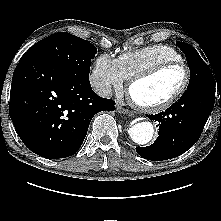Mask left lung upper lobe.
<instances>
[{"label":"left lung upper lobe","instance_id":"obj_1","mask_svg":"<svg viewBox=\"0 0 221 221\" xmlns=\"http://www.w3.org/2000/svg\"><path fill=\"white\" fill-rule=\"evenodd\" d=\"M176 44L185 53L190 67V81L187 89L198 86L204 82L214 80L209 67L190 44L180 41Z\"/></svg>","mask_w":221,"mask_h":221}]
</instances>
